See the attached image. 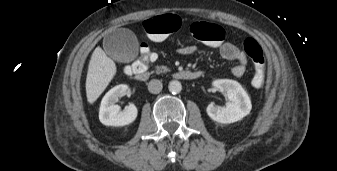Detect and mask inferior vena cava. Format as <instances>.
<instances>
[{"instance_id": "602c4592", "label": "inferior vena cava", "mask_w": 337, "mask_h": 171, "mask_svg": "<svg viewBox=\"0 0 337 171\" xmlns=\"http://www.w3.org/2000/svg\"><path fill=\"white\" fill-rule=\"evenodd\" d=\"M162 88H163L162 82L160 80H157V79L151 80L148 84V90H149V92H151L153 94L160 93Z\"/></svg>"}]
</instances>
